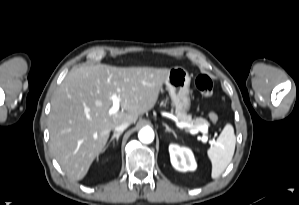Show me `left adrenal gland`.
<instances>
[{"label":"left adrenal gland","mask_w":299,"mask_h":205,"mask_svg":"<svg viewBox=\"0 0 299 205\" xmlns=\"http://www.w3.org/2000/svg\"><path fill=\"white\" fill-rule=\"evenodd\" d=\"M163 126L166 127V132H171L174 136H176V133L174 132V130L169 128V126L166 123H163Z\"/></svg>","instance_id":"1"}]
</instances>
